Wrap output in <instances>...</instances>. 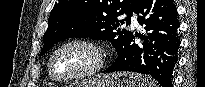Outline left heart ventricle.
<instances>
[{"instance_id":"b2bd125f","label":"left heart ventricle","mask_w":205,"mask_h":87,"mask_svg":"<svg viewBox=\"0 0 205 87\" xmlns=\"http://www.w3.org/2000/svg\"><path fill=\"white\" fill-rule=\"evenodd\" d=\"M93 53L84 46L74 45L62 49L53 63V70L59 77L80 73L94 63Z\"/></svg>"}]
</instances>
